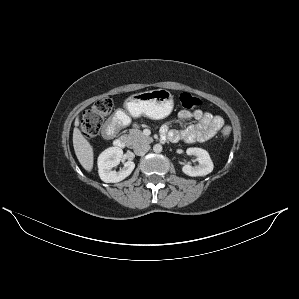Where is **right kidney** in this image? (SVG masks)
Wrapping results in <instances>:
<instances>
[{
  "instance_id": "1",
  "label": "right kidney",
  "mask_w": 299,
  "mask_h": 299,
  "mask_svg": "<svg viewBox=\"0 0 299 299\" xmlns=\"http://www.w3.org/2000/svg\"><path fill=\"white\" fill-rule=\"evenodd\" d=\"M123 156V150L119 147H109L98 157V172L105 183H117L128 177L135 168L133 161H127L120 171L116 172L113 167L117 166Z\"/></svg>"
}]
</instances>
